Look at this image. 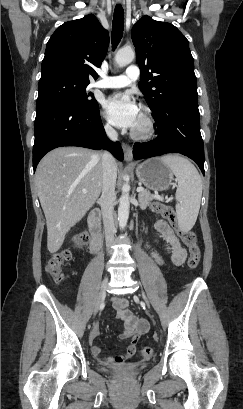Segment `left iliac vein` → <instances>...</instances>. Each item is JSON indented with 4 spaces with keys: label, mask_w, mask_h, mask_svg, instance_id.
<instances>
[{
    "label": "left iliac vein",
    "mask_w": 243,
    "mask_h": 409,
    "mask_svg": "<svg viewBox=\"0 0 243 409\" xmlns=\"http://www.w3.org/2000/svg\"><path fill=\"white\" fill-rule=\"evenodd\" d=\"M144 301H145V303H146L147 307H148V308H150V306H149V302H148V299H147L146 297H144Z\"/></svg>",
    "instance_id": "obj_1"
}]
</instances>
